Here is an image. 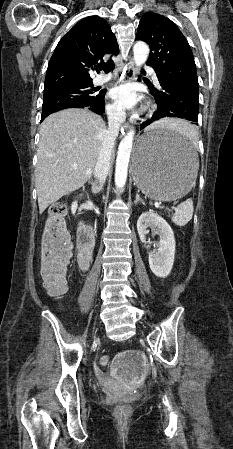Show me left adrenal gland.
I'll use <instances>...</instances> for the list:
<instances>
[{"instance_id": "obj_1", "label": "left adrenal gland", "mask_w": 233, "mask_h": 449, "mask_svg": "<svg viewBox=\"0 0 233 449\" xmlns=\"http://www.w3.org/2000/svg\"><path fill=\"white\" fill-rule=\"evenodd\" d=\"M138 202H141L143 205H145L144 201L140 198L139 194H136L134 204H138Z\"/></svg>"}]
</instances>
